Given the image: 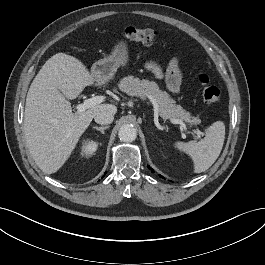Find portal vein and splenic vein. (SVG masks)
<instances>
[{
	"instance_id": "18ae733b",
	"label": "portal vein and splenic vein",
	"mask_w": 265,
	"mask_h": 265,
	"mask_svg": "<svg viewBox=\"0 0 265 265\" xmlns=\"http://www.w3.org/2000/svg\"><path fill=\"white\" fill-rule=\"evenodd\" d=\"M104 100H105L104 96H95V97H92V98L84 100L83 103L77 105L76 109H77L78 112H84L85 110L104 102ZM170 121L173 124L181 125V128L186 130V126H185V124L183 123V121L181 119H170ZM197 134L201 135L202 133L198 130Z\"/></svg>"
}]
</instances>
